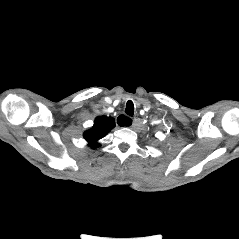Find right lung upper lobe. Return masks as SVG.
<instances>
[{"mask_svg":"<svg viewBox=\"0 0 239 239\" xmlns=\"http://www.w3.org/2000/svg\"><path fill=\"white\" fill-rule=\"evenodd\" d=\"M115 127L112 117L100 116L95 119L93 127L84 133V138L92 148L98 147V140L105 137Z\"/></svg>","mask_w":239,"mask_h":239,"instance_id":"cb5924a9","label":"right lung upper lobe"}]
</instances>
